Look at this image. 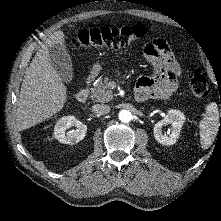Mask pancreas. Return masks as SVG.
Here are the masks:
<instances>
[{
	"mask_svg": "<svg viewBox=\"0 0 221 221\" xmlns=\"http://www.w3.org/2000/svg\"><path fill=\"white\" fill-rule=\"evenodd\" d=\"M108 77L103 80L99 79L91 88V99L98 102H109L113 99L114 95L112 90L108 89Z\"/></svg>",
	"mask_w": 221,
	"mask_h": 221,
	"instance_id": "obj_1",
	"label": "pancreas"
}]
</instances>
